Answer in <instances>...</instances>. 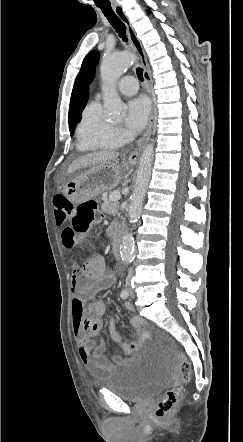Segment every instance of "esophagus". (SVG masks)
Segmentation results:
<instances>
[{"label": "esophagus", "mask_w": 243, "mask_h": 442, "mask_svg": "<svg viewBox=\"0 0 243 442\" xmlns=\"http://www.w3.org/2000/svg\"><path fill=\"white\" fill-rule=\"evenodd\" d=\"M116 15L121 19V21L124 23L125 27H126V32H127V36L131 42V44L133 45L135 51L137 52L140 61H141V65L143 67V76L145 79V82L148 86V91L151 97V102H152V108H151V114H150V118H149V122H148V126L147 129L144 133V135L142 136V138L139 140L138 142V147L129 154V161L130 162H135L140 158V155L145 147V144L147 143V141L149 140L150 137V133L153 127V122H154V116H155V101H154V95H153V91H152V79L150 76V72H149V67H148V62H147V57L146 54L144 52L143 46L138 38V36L136 35L135 30L133 29L128 17L126 16L123 8L120 5H115L113 7Z\"/></svg>", "instance_id": "1"}]
</instances>
